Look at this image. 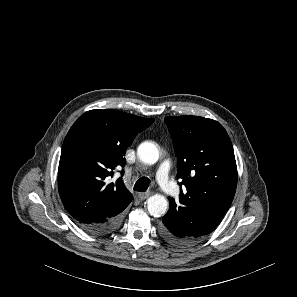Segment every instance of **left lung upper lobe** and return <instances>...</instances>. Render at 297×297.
Wrapping results in <instances>:
<instances>
[{
  "instance_id": "5c2ea615",
  "label": "left lung upper lobe",
  "mask_w": 297,
  "mask_h": 297,
  "mask_svg": "<svg viewBox=\"0 0 297 297\" xmlns=\"http://www.w3.org/2000/svg\"><path fill=\"white\" fill-rule=\"evenodd\" d=\"M182 179L180 201L185 235L194 241L211 233L229 209L237 185L231 140L215 120L199 116L166 117Z\"/></svg>"
}]
</instances>
